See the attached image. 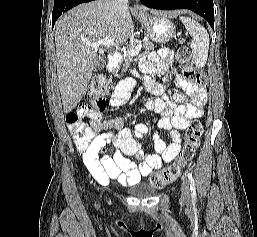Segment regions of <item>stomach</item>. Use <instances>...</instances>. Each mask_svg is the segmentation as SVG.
Returning a JSON list of instances; mask_svg holds the SVG:
<instances>
[{
  "instance_id": "stomach-1",
  "label": "stomach",
  "mask_w": 257,
  "mask_h": 237,
  "mask_svg": "<svg viewBox=\"0 0 257 237\" xmlns=\"http://www.w3.org/2000/svg\"><path fill=\"white\" fill-rule=\"evenodd\" d=\"M137 18L146 31L147 36L157 43H166L176 34L174 24L162 13L142 12Z\"/></svg>"
}]
</instances>
